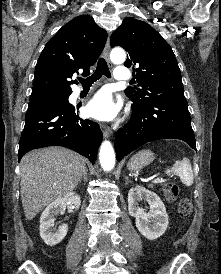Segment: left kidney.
<instances>
[{
	"instance_id": "5707ae66",
	"label": "left kidney",
	"mask_w": 221,
	"mask_h": 274,
	"mask_svg": "<svg viewBox=\"0 0 221 274\" xmlns=\"http://www.w3.org/2000/svg\"><path fill=\"white\" fill-rule=\"evenodd\" d=\"M144 200L150 205L148 213L140 207ZM128 211L136 218V227L139 232L149 240H155L162 236L169 224L165 206L158 195L148 191L144 187L136 186L128 193Z\"/></svg>"
}]
</instances>
